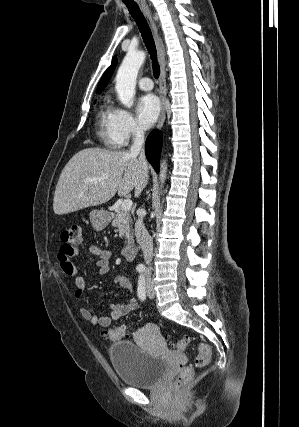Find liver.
<instances>
[{
	"mask_svg": "<svg viewBox=\"0 0 299 427\" xmlns=\"http://www.w3.org/2000/svg\"><path fill=\"white\" fill-rule=\"evenodd\" d=\"M104 175L108 178L90 180ZM147 179L137 155L101 148L83 149L68 161L61 172L54 193V213L64 215L100 205L117 192L119 196H125L135 189V197H138Z\"/></svg>",
	"mask_w": 299,
	"mask_h": 427,
	"instance_id": "6515ba94",
	"label": "liver"
}]
</instances>
